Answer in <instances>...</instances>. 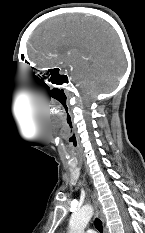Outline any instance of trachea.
<instances>
[{
    "label": "trachea",
    "instance_id": "1",
    "mask_svg": "<svg viewBox=\"0 0 145 233\" xmlns=\"http://www.w3.org/2000/svg\"><path fill=\"white\" fill-rule=\"evenodd\" d=\"M94 225L100 233H103L102 222L98 218L95 219Z\"/></svg>",
    "mask_w": 145,
    "mask_h": 233
}]
</instances>
